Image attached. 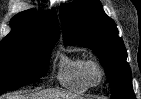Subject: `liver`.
Listing matches in <instances>:
<instances>
[{
  "mask_svg": "<svg viewBox=\"0 0 141 99\" xmlns=\"http://www.w3.org/2000/svg\"><path fill=\"white\" fill-rule=\"evenodd\" d=\"M81 97L55 89H45L31 95L15 94L7 96L6 99H80Z\"/></svg>",
  "mask_w": 141,
  "mask_h": 99,
  "instance_id": "liver-1",
  "label": "liver"
}]
</instances>
